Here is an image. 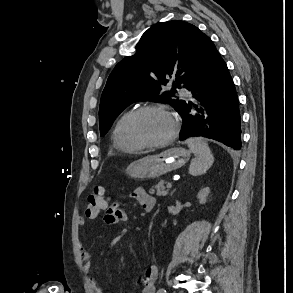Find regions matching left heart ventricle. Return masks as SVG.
<instances>
[{
	"label": "left heart ventricle",
	"mask_w": 293,
	"mask_h": 293,
	"mask_svg": "<svg viewBox=\"0 0 293 293\" xmlns=\"http://www.w3.org/2000/svg\"><path fill=\"white\" fill-rule=\"evenodd\" d=\"M172 127V121L165 113L151 111L139 117L136 132L145 141L157 142L168 137Z\"/></svg>",
	"instance_id": "b2bd125f"
}]
</instances>
